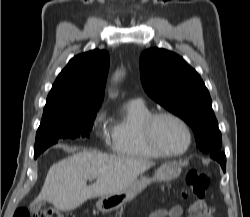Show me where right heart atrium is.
<instances>
[{"mask_svg": "<svg viewBox=\"0 0 250 217\" xmlns=\"http://www.w3.org/2000/svg\"><path fill=\"white\" fill-rule=\"evenodd\" d=\"M107 111L105 108H100L94 117L93 125L97 130V134L100 139L104 142H109L110 140V129L106 127Z\"/></svg>", "mask_w": 250, "mask_h": 217, "instance_id": "1", "label": "right heart atrium"}]
</instances>
